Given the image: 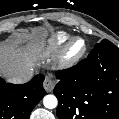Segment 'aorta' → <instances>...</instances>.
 Listing matches in <instances>:
<instances>
[{
	"instance_id": "1",
	"label": "aorta",
	"mask_w": 119,
	"mask_h": 119,
	"mask_svg": "<svg viewBox=\"0 0 119 119\" xmlns=\"http://www.w3.org/2000/svg\"><path fill=\"white\" fill-rule=\"evenodd\" d=\"M43 104L48 109H53L57 106L58 100L54 95H46L43 98Z\"/></svg>"
}]
</instances>
